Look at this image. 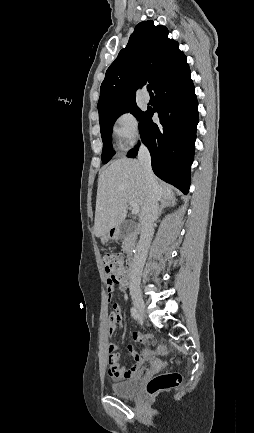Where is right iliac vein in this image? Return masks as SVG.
Wrapping results in <instances>:
<instances>
[{
	"label": "right iliac vein",
	"mask_w": 254,
	"mask_h": 433,
	"mask_svg": "<svg viewBox=\"0 0 254 433\" xmlns=\"http://www.w3.org/2000/svg\"><path fill=\"white\" fill-rule=\"evenodd\" d=\"M132 299H133V303H134V306H135L138 314L140 316H143L144 312H145V304H144V300H143L142 296L138 293H133Z\"/></svg>",
	"instance_id": "63e3f726"
}]
</instances>
